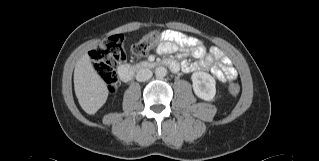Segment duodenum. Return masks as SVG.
<instances>
[{
  "mask_svg": "<svg viewBox=\"0 0 319 161\" xmlns=\"http://www.w3.org/2000/svg\"><path fill=\"white\" fill-rule=\"evenodd\" d=\"M158 66H166L174 73L179 70V65L175 60L166 59V60H163L162 62H158V61L140 62L133 66L121 65L118 68V75L122 82H128L133 78L134 74L137 71L150 70Z\"/></svg>",
  "mask_w": 319,
  "mask_h": 161,
  "instance_id": "410a0bca",
  "label": "duodenum"
}]
</instances>
